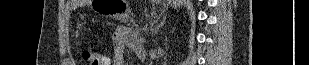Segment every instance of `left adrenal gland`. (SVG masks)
I'll use <instances>...</instances> for the list:
<instances>
[{"mask_svg":"<svg viewBox=\"0 0 309 65\" xmlns=\"http://www.w3.org/2000/svg\"><path fill=\"white\" fill-rule=\"evenodd\" d=\"M164 23H165V19H163V21H161L160 24L156 25V30L155 31H154V29H151L152 30V34L157 33L158 30L164 25Z\"/></svg>","mask_w":309,"mask_h":65,"instance_id":"a2214340","label":"left adrenal gland"}]
</instances>
